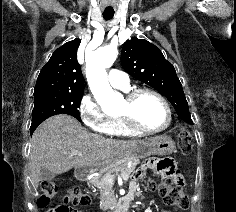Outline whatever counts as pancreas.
Returning <instances> with one entry per match:
<instances>
[{"instance_id":"obj_1","label":"pancreas","mask_w":236,"mask_h":212,"mask_svg":"<svg viewBox=\"0 0 236 212\" xmlns=\"http://www.w3.org/2000/svg\"><path fill=\"white\" fill-rule=\"evenodd\" d=\"M128 162L129 159L123 158L101 171L99 176H95L90 180V183L100 191V209L106 210L112 205L106 196V192L109 189V182L105 180V177H114L113 173L120 172L121 176H126L124 180L127 181L130 177V173L135 169L139 161L133 159L130 168H128Z\"/></svg>"}]
</instances>
